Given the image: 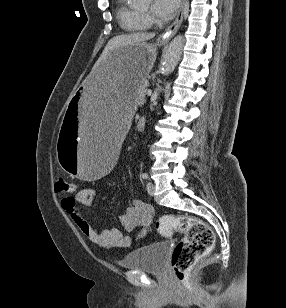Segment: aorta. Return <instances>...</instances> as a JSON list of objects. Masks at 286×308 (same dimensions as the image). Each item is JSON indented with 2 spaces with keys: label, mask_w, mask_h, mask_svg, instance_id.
Wrapping results in <instances>:
<instances>
[{
  "label": "aorta",
  "mask_w": 286,
  "mask_h": 308,
  "mask_svg": "<svg viewBox=\"0 0 286 308\" xmlns=\"http://www.w3.org/2000/svg\"><path fill=\"white\" fill-rule=\"evenodd\" d=\"M149 0H137V2H147ZM185 39L183 35H177L169 44L162 60V73L169 75L175 69L184 47Z\"/></svg>",
  "instance_id": "762f6f07"
}]
</instances>
